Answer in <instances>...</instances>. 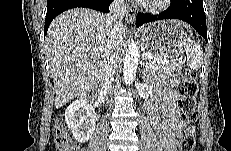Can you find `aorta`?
<instances>
[{"label": "aorta", "mask_w": 231, "mask_h": 151, "mask_svg": "<svg viewBox=\"0 0 231 151\" xmlns=\"http://www.w3.org/2000/svg\"><path fill=\"white\" fill-rule=\"evenodd\" d=\"M139 61V50L136 43L131 40L126 50L123 75L126 85H130L136 77V71Z\"/></svg>", "instance_id": "aorta-1"}]
</instances>
